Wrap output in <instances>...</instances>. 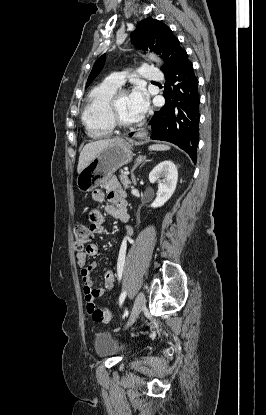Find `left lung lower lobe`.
I'll list each match as a JSON object with an SVG mask.
<instances>
[{
    "label": "left lung lower lobe",
    "mask_w": 266,
    "mask_h": 415,
    "mask_svg": "<svg viewBox=\"0 0 266 415\" xmlns=\"http://www.w3.org/2000/svg\"><path fill=\"white\" fill-rule=\"evenodd\" d=\"M168 88L173 85L172 100L156 111L150 120L151 139L171 142L189 154L194 163L197 160L199 141V104L198 79L192 63L185 53L175 68L166 75ZM132 135V134H130Z\"/></svg>",
    "instance_id": "obj_1"
}]
</instances>
